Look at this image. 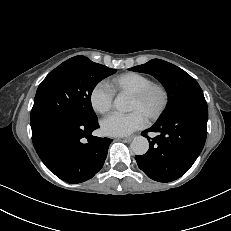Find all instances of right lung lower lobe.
Wrapping results in <instances>:
<instances>
[{
	"label": "right lung lower lobe",
	"mask_w": 231,
	"mask_h": 231,
	"mask_svg": "<svg viewBox=\"0 0 231 231\" xmlns=\"http://www.w3.org/2000/svg\"><path fill=\"white\" fill-rule=\"evenodd\" d=\"M98 120L64 118L49 125L33 145L45 166L68 183H81L102 168L112 139L92 136Z\"/></svg>",
	"instance_id": "right-lung-lower-lobe-1"
}]
</instances>
